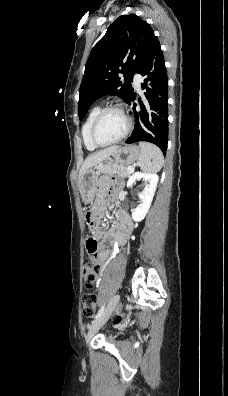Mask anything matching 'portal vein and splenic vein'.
Wrapping results in <instances>:
<instances>
[{
    "mask_svg": "<svg viewBox=\"0 0 228 396\" xmlns=\"http://www.w3.org/2000/svg\"><path fill=\"white\" fill-rule=\"evenodd\" d=\"M128 170H129L130 172H133V171H134V168L128 167Z\"/></svg>",
    "mask_w": 228,
    "mask_h": 396,
    "instance_id": "1",
    "label": "portal vein and splenic vein"
}]
</instances>
